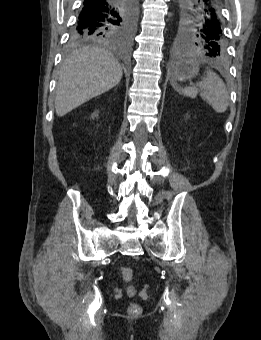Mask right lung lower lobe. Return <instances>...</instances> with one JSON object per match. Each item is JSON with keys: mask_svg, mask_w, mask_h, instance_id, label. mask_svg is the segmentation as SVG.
I'll return each mask as SVG.
<instances>
[{"mask_svg": "<svg viewBox=\"0 0 261 340\" xmlns=\"http://www.w3.org/2000/svg\"><path fill=\"white\" fill-rule=\"evenodd\" d=\"M126 0H83L75 27L88 25L101 16H110L124 8Z\"/></svg>", "mask_w": 261, "mask_h": 340, "instance_id": "98d812e1", "label": "right lung lower lobe"}]
</instances>
